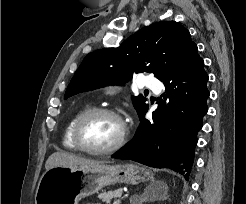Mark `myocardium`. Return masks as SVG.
<instances>
[{
	"label": "myocardium",
	"instance_id": "1",
	"mask_svg": "<svg viewBox=\"0 0 246 204\" xmlns=\"http://www.w3.org/2000/svg\"><path fill=\"white\" fill-rule=\"evenodd\" d=\"M96 115L111 116L119 122L121 127V131L118 139L112 145L101 149L86 147L81 141V130L83 125L88 119ZM127 137H128V127L122 116L117 111L106 107H94L88 109L77 119L73 128V141L77 149L93 155H105L117 151L125 144Z\"/></svg>",
	"mask_w": 246,
	"mask_h": 204
}]
</instances>
